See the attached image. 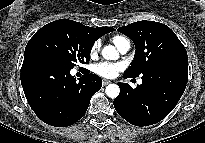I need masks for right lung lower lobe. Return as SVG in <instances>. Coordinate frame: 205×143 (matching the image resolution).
<instances>
[{
    "instance_id": "98d812e1",
    "label": "right lung lower lobe",
    "mask_w": 205,
    "mask_h": 143,
    "mask_svg": "<svg viewBox=\"0 0 205 143\" xmlns=\"http://www.w3.org/2000/svg\"><path fill=\"white\" fill-rule=\"evenodd\" d=\"M71 69L48 54L25 52L20 77L26 99L35 114L51 126L77 122L102 86L101 78L95 74L87 73L76 82Z\"/></svg>"
}]
</instances>
